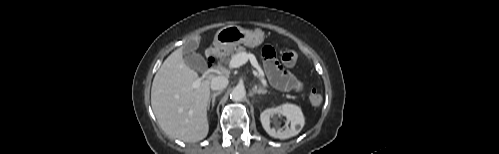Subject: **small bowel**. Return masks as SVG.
Instances as JSON below:
<instances>
[{
    "label": "small bowel",
    "mask_w": 499,
    "mask_h": 154,
    "mask_svg": "<svg viewBox=\"0 0 499 154\" xmlns=\"http://www.w3.org/2000/svg\"><path fill=\"white\" fill-rule=\"evenodd\" d=\"M263 58L265 71L274 87L284 91H301L303 89V83L277 62L272 47L266 46L263 49Z\"/></svg>",
    "instance_id": "c3829d8e"
}]
</instances>
